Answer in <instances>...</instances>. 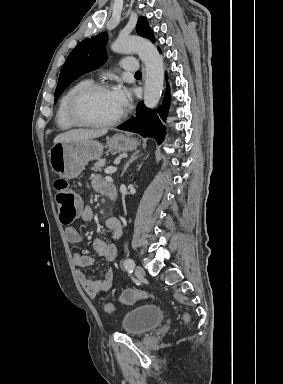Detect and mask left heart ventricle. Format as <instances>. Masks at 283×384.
I'll list each match as a JSON object with an SVG mask.
<instances>
[{
	"instance_id": "1",
	"label": "left heart ventricle",
	"mask_w": 283,
	"mask_h": 384,
	"mask_svg": "<svg viewBox=\"0 0 283 384\" xmlns=\"http://www.w3.org/2000/svg\"><path fill=\"white\" fill-rule=\"evenodd\" d=\"M111 89L99 90L86 96L79 103L77 113L81 120L91 123L110 121L120 114Z\"/></svg>"
}]
</instances>
